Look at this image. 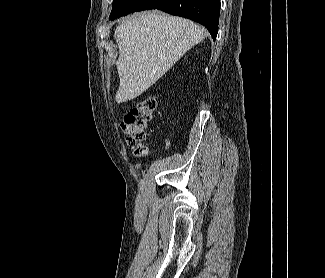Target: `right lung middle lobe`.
I'll list each match as a JSON object with an SVG mask.
<instances>
[{
    "instance_id": "1",
    "label": "right lung middle lobe",
    "mask_w": 325,
    "mask_h": 278,
    "mask_svg": "<svg viewBox=\"0 0 325 278\" xmlns=\"http://www.w3.org/2000/svg\"><path fill=\"white\" fill-rule=\"evenodd\" d=\"M134 5L135 0H114L109 19L115 20L121 16L129 14Z\"/></svg>"
}]
</instances>
